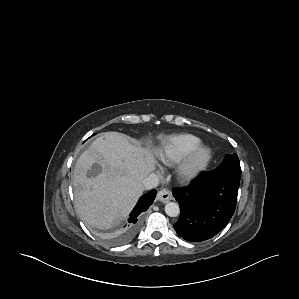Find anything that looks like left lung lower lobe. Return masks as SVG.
Wrapping results in <instances>:
<instances>
[{"label": "left lung lower lobe", "instance_id": "obj_1", "mask_svg": "<svg viewBox=\"0 0 299 299\" xmlns=\"http://www.w3.org/2000/svg\"><path fill=\"white\" fill-rule=\"evenodd\" d=\"M239 183L238 178L210 171L173 192L181 210L174 224L178 235L190 242H200L220 232L234 214Z\"/></svg>", "mask_w": 299, "mask_h": 299}]
</instances>
